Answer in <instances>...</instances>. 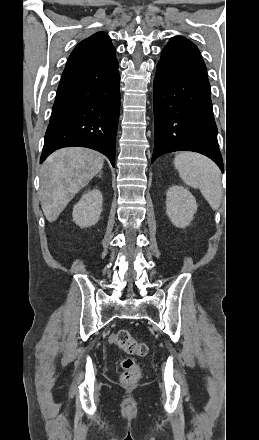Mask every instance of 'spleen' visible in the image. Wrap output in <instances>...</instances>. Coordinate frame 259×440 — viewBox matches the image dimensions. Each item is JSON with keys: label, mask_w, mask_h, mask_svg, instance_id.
<instances>
[{"label": "spleen", "mask_w": 259, "mask_h": 440, "mask_svg": "<svg viewBox=\"0 0 259 440\" xmlns=\"http://www.w3.org/2000/svg\"><path fill=\"white\" fill-rule=\"evenodd\" d=\"M180 178L190 187L200 189L212 209L217 210L223 197L221 172L217 165L198 153L183 152L174 159Z\"/></svg>", "instance_id": "3e777b00"}]
</instances>
